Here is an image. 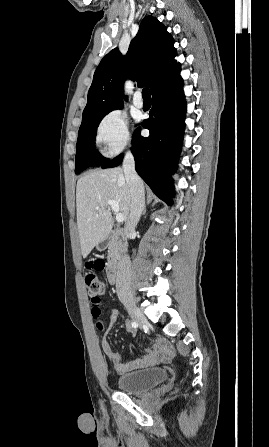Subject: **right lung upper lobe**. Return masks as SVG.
Wrapping results in <instances>:
<instances>
[{
	"instance_id": "right-lung-upper-lobe-1",
	"label": "right lung upper lobe",
	"mask_w": 269,
	"mask_h": 447,
	"mask_svg": "<svg viewBox=\"0 0 269 447\" xmlns=\"http://www.w3.org/2000/svg\"><path fill=\"white\" fill-rule=\"evenodd\" d=\"M173 44L174 40L166 27L155 17L146 16L126 56L115 48L98 65L80 128L122 107L126 78L152 90L159 81L179 68L180 64L174 60L176 49Z\"/></svg>"
}]
</instances>
